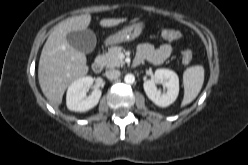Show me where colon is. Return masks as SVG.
<instances>
[{
  "label": "colon",
  "instance_id": "colon-1",
  "mask_svg": "<svg viewBox=\"0 0 248 165\" xmlns=\"http://www.w3.org/2000/svg\"><path fill=\"white\" fill-rule=\"evenodd\" d=\"M161 36L164 40L176 41L181 38V33L173 29H164L161 31ZM193 59V53L190 49H185L182 52V61L184 64H189Z\"/></svg>",
  "mask_w": 248,
  "mask_h": 165
}]
</instances>
